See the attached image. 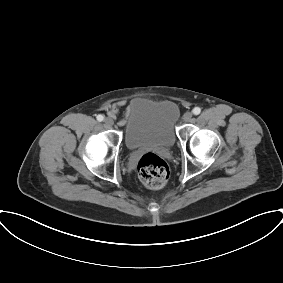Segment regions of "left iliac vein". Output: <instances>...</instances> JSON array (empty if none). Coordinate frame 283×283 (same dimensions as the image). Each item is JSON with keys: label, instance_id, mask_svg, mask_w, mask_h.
Instances as JSON below:
<instances>
[{"label": "left iliac vein", "instance_id": "1", "mask_svg": "<svg viewBox=\"0 0 283 283\" xmlns=\"http://www.w3.org/2000/svg\"><path fill=\"white\" fill-rule=\"evenodd\" d=\"M193 117L192 112L188 111L184 114L183 119L185 122H189Z\"/></svg>", "mask_w": 283, "mask_h": 283}]
</instances>
